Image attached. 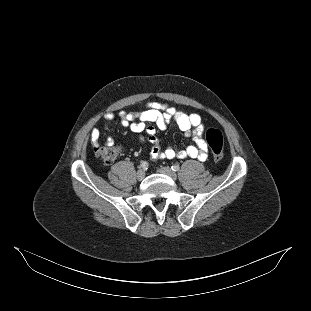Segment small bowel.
<instances>
[{
  "label": "small bowel",
  "mask_w": 311,
  "mask_h": 311,
  "mask_svg": "<svg viewBox=\"0 0 311 311\" xmlns=\"http://www.w3.org/2000/svg\"><path fill=\"white\" fill-rule=\"evenodd\" d=\"M119 116L122 125L136 133L140 142L151 145L149 153L154 160L198 158L204 161L207 158L208 144L202 137L203 123L197 113H187L164 103L150 102L140 112H121ZM104 119L111 121L114 119V115L107 113L104 115ZM171 123L176 124L186 136L192 137L194 144L179 150L170 146L162 149L156 136V128L165 130ZM100 136V130L93 128L90 133V140L94 147L98 146ZM108 144H112L111 139L108 140Z\"/></svg>",
  "instance_id": "1"
}]
</instances>
